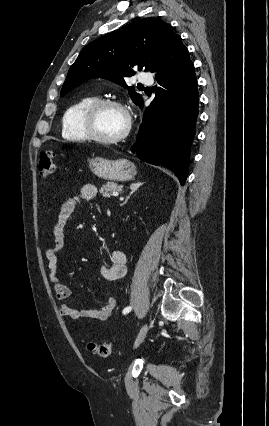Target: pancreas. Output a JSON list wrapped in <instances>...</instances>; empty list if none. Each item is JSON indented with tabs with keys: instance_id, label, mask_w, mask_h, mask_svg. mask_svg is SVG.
Here are the masks:
<instances>
[{
	"instance_id": "obj_1",
	"label": "pancreas",
	"mask_w": 269,
	"mask_h": 426,
	"mask_svg": "<svg viewBox=\"0 0 269 426\" xmlns=\"http://www.w3.org/2000/svg\"><path fill=\"white\" fill-rule=\"evenodd\" d=\"M121 189H122L121 185L117 183L109 182L101 187L100 193L103 195V197L109 198L111 196V192L121 191Z\"/></svg>"
}]
</instances>
